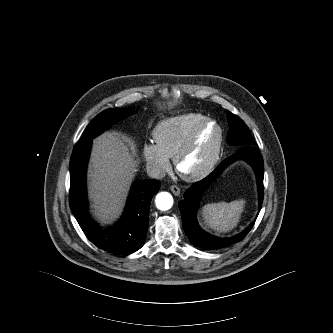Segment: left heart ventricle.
<instances>
[{"instance_id": "1", "label": "left heart ventricle", "mask_w": 333, "mask_h": 333, "mask_svg": "<svg viewBox=\"0 0 333 333\" xmlns=\"http://www.w3.org/2000/svg\"><path fill=\"white\" fill-rule=\"evenodd\" d=\"M217 129L214 125L206 127L197 140L190 154L183 162L182 168L186 172H194L200 169L209 159L217 140Z\"/></svg>"}]
</instances>
